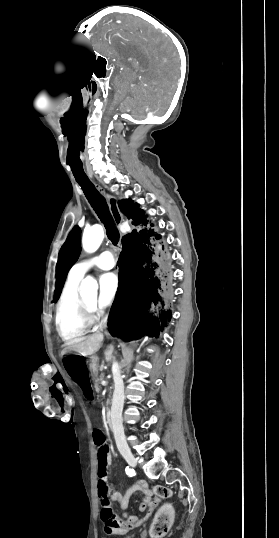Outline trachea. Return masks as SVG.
<instances>
[{"mask_svg":"<svg viewBox=\"0 0 279 538\" xmlns=\"http://www.w3.org/2000/svg\"><path fill=\"white\" fill-rule=\"evenodd\" d=\"M75 179L82 188L96 215L103 223L109 240L116 246L119 242L120 234L115 227L113 217L109 211L105 198L98 192L87 176L75 177Z\"/></svg>","mask_w":279,"mask_h":538,"instance_id":"trachea-1","label":"trachea"}]
</instances>
